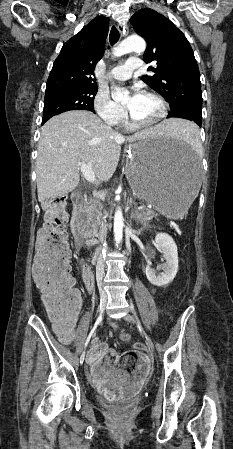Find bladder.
<instances>
[{
	"instance_id": "31cf9c89",
	"label": "bladder",
	"mask_w": 233,
	"mask_h": 449,
	"mask_svg": "<svg viewBox=\"0 0 233 449\" xmlns=\"http://www.w3.org/2000/svg\"><path fill=\"white\" fill-rule=\"evenodd\" d=\"M140 401V397L123 400H101V404L107 408L126 410L134 407Z\"/></svg>"
}]
</instances>
